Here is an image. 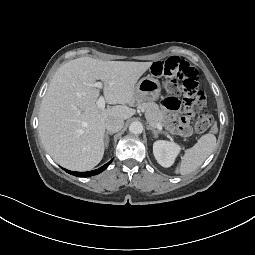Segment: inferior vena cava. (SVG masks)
Segmentation results:
<instances>
[{
    "label": "inferior vena cava",
    "mask_w": 255,
    "mask_h": 255,
    "mask_svg": "<svg viewBox=\"0 0 255 255\" xmlns=\"http://www.w3.org/2000/svg\"><path fill=\"white\" fill-rule=\"evenodd\" d=\"M124 120L120 118H109L105 123V128L110 133H116L122 129Z\"/></svg>",
    "instance_id": "602c4592"
}]
</instances>
